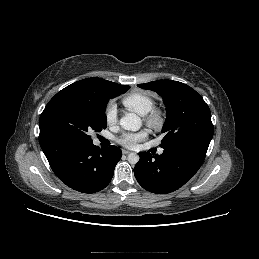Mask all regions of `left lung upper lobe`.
Returning a JSON list of instances; mask_svg holds the SVG:
<instances>
[{
	"mask_svg": "<svg viewBox=\"0 0 259 259\" xmlns=\"http://www.w3.org/2000/svg\"><path fill=\"white\" fill-rule=\"evenodd\" d=\"M138 87L157 92L166 105L162 148L193 146L207 151L214 127L210 109L199 93L184 83L171 80L152 81Z\"/></svg>",
	"mask_w": 259,
	"mask_h": 259,
	"instance_id": "left-lung-upper-lobe-1",
	"label": "left lung upper lobe"
}]
</instances>
